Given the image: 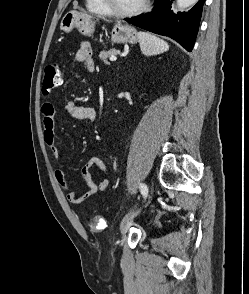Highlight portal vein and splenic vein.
<instances>
[{
  "label": "portal vein and splenic vein",
  "mask_w": 249,
  "mask_h": 294,
  "mask_svg": "<svg viewBox=\"0 0 249 294\" xmlns=\"http://www.w3.org/2000/svg\"><path fill=\"white\" fill-rule=\"evenodd\" d=\"M109 60H110V61H116V60H117V57H116V56H111V57L109 58Z\"/></svg>",
  "instance_id": "obj_1"
}]
</instances>
